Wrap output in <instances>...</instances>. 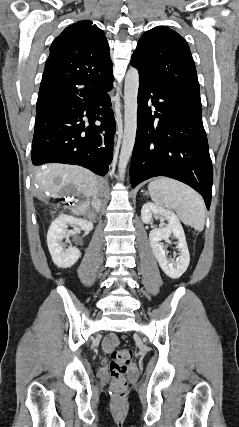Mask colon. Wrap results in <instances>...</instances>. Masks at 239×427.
<instances>
[{
	"mask_svg": "<svg viewBox=\"0 0 239 427\" xmlns=\"http://www.w3.org/2000/svg\"><path fill=\"white\" fill-rule=\"evenodd\" d=\"M134 357L131 348L120 349L111 353L110 375L112 377V390L117 398L125 396L127 391L126 375Z\"/></svg>",
	"mask_w": 239,
	"mask_h": 427,
	"instance_id": "colon-1",
	"label": "colon"
}]
</instances>
